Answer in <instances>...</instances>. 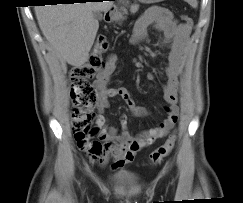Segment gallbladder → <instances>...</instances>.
Returning a JSON list of instances; mask_svg holds the SVG:
<instances>
[{"label":"gallbladder","mask_w":243,"mask_h":203,"mask_svg":"<svg viewBox=\"0 0 243 203\" xmlns=\"http://www.w3.org/2000/svg\"><path fill=\"white\" fill-rule=\"evenodd\" d=\"M93 14H94V18L96 20H101L102 19V13L100 11H94Z\"/></svg>","instance_id":"gallbladder-1"}]
</instances>
